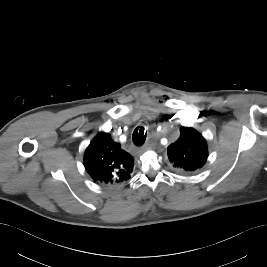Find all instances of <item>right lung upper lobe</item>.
<instances>
[{
    "instance_id": "right-lung-upper-lobe-1",
    "label": "right lung upper lobe",
    "mask_w": 267,
    "mask_h": 267,
    "mask_svg": "<svg viewBox=\"0 0 267 267\" xmlns=\"http://www.w3.org/2000/svg\"><path fill=\"white\" fill-rule=\"evenodd\" d=\"M84 166L94 182L118 186L130 178L134 159L109 134L101 132L86 149Z\"/></svg>"
}]
</instances>
